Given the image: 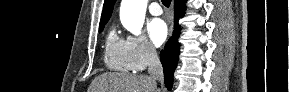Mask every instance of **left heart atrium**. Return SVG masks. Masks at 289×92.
Wrapping results in <instances>:
<instances>
[{
    "label": "left heart atrium",
    "instance_id": "39dd6f15",
    "mask_svg": "<svg viewBox=\"0 0 289 92\" xmlns=\"http://www.w3.org/2000/svg\"><path fill=\"white\" fill-rule=\"evenodd\" d=\"M148 33L155 46L162 45L168 36V27L162 19H153L148 25Z\"/></svg>",
    "mask_w": 289,
    "mask_h": 92
}]
</instances>
